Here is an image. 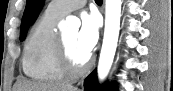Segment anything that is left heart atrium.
Here are the masks:
<instances>
[{
	"instance_id": "39dd6f15",
	"label": "left heart atrium",
	"mask_w": 173,
	"mask_h": 91,
	"mask_svg": "<svg viewBox=\"0 0 173 91\" xmlns=\"http://www.w3.org/2000/svg\"><path fill=\"white\" fill-rule=\"evenodd\" d=\"M81 21V27L77 35V47L83 55L89 57L99 38L98 18L94 13H85Z\"/></svg>"
}]
</instances>
